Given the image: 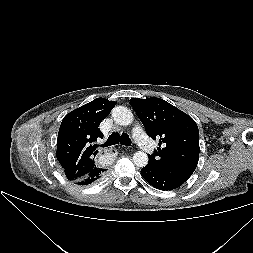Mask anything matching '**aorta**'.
Returning <instances> with one entry per match:
<instances>
[{"mask_svg": "<svg viewBox=\"0 0 253 253\" xmlns=\"http://www.w3.org/2000/svg\"><path fill=\"white\" fill-rule=\"evenodd\" d=\"M112 117L117 124L122 126H128L134 120L131 110L124 106L114 107ZM133 162L138 167H145L148 163V156L146 153L138 151L133 155Z\"/></svg>", "mask_w": 253, "mask_h": 253, "instance_id": "aorta-1", "label": "aorta"}]
</instances>
